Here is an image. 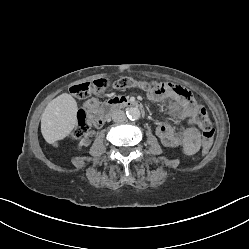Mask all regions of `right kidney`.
<instances>
[{
	"label": "right kidney",
	"mask_w": 249,
	"mask_h": 249,
	"mask_svg": "<svg viewBox=\"0 0 249 249\" xmlns=\"http://www.w3.org/2000/svg\"><path fill=\"white\" fill-rule=\"evenodd\" d=\"M96 136V131L95 130H90L86 133V136L80 141V146H88L91 141L95 138Z\"/></svg>",
	"instance_id": "right-kidney-1"
}]
</instances>
